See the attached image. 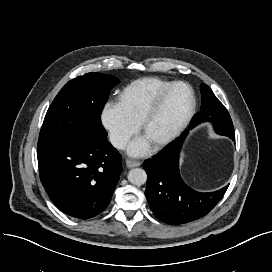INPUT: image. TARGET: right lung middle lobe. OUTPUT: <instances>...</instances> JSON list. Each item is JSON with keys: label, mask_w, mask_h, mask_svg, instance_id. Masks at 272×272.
Returning <instances> with one entry per match:
<instances>
[{"label": "right lung middle lobe", "mask_w": 272, "mask_h": 272, "mask_svg": "<svg viewBox=\"0 0 272 272\" xmlns=\"http://www.w3.org/2000/svg\"><path fill=\"white\" fill-rule=\"evenodd\" d=\"M118 83L114 76L94 72L69 81L50 105L39 140L107 137L101 112Z\"/></svg>", "instance_id": "dd1d6c3e"}]
</instances>
